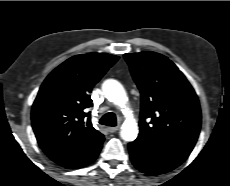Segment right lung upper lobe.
<instances>
[{
  "label": "right lung upper lobe",
  "mask_w": 230,
  "mask_h": 186,
  "mask_svg": "<svg viewBox=\"0 0 230 186\" xmlns=\"http://www.w3.org/2000/svg\"><path fill=\"white\" fill-rule=\"evenodd\" d=\"M117 60L106 53L76 55L41 85L32 106V126L40 147L57 164L77 168L102 146L104 136L85 109L92 105L93 86Z\"/></svg>",
  "instance_id": "right-lung-upper-lobe-1"
}]
</instances>
